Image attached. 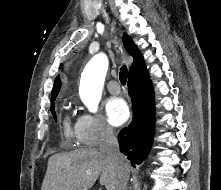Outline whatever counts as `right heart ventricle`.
<instances>
[{
  "mask_svg": "<svg viewBox=\"0 0 221 190\" xmlns=\"http://www.w3.org/2000/svg\"><path fill=\"white\" fill-rule=\"evenodd\" d=\"M64 133L67 139L74 140L77 138L76 127L72 126L69 117H66L64 120Z\"/></svg>",
  "mask_w": 221,
  "mask_h": 190,
  "instance_id": "e07e8e85",
  "label": "right heart ventricle"
}]
</instances>
